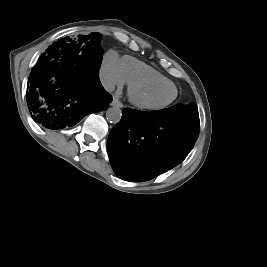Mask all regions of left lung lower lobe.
I'll use <instances>...</instances> for the list:
<instances>
[{"label":"left lung lower lobe","instance_id":"obj_1","mask_svg":"<svg viewBox=\"0 0 267 267\" xmlns=\"http://www.w3.org/2000/svg\"><path fill=\"white\" fill-rule=\"evenodd\" d=\"M199 130L195 107L175 105L153 112L125 108L107 141L112 168L126 181L150 180L186 158Z\"/></svg>","mask_w":267,"mask_h":267}]
</instances>
